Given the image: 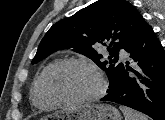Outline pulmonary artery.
Returning <instances> with one entry per match:
<instances>
[{
  "mask_svg": "<svg viewBox=\"0 0 165 120\" xmlns=\"http://www.w3.org/2000/svg\"><path fill=\"white\" fill-rule=\"evenodd\" d=\"M121 57H123V58H126L127 57V54L124 52V51H121Z\"/></svg>",
  "mask_w": 165,
  "mask_h": 120,
  "instance_id": "pulmonary-artery-1",
  "label": "pulmonary artery"
}]
</instances>
